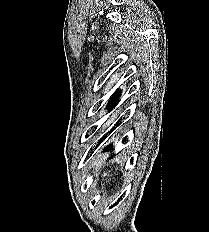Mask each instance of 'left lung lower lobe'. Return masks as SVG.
I'll return each mask as SVG.
<instances>
[{
    "label": "left lung lower lobe",
    "mask_w": 209,
    "mask_h": 232,
    "mask_svg": "<svg viewBox=\"0 0 209 232\" xmlns=\"http://www.w3.org/2000/svg\"><path fill=\"white\" fill-rule=\"evenodd\" d=\"M120 96V92H116V94L111 98L110 102L108 103V107H115V105L118 103ZM111 148V145L108 146L107 149Z\"/></svg>",
    "instance_id": "1"
}]
</instances>
